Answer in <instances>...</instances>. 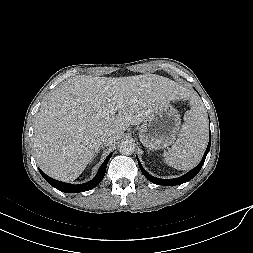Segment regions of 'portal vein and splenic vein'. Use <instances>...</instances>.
I'll use <instances>...</instances> for the list:
<instances>
[{"instance_id":"1","label":"portal vein and splenic vein","mask_w":253,"mask_h":253,"mask_svg":"<svg viewBox=\"0 0 253 253\" xmlns=\"http://www.w3.org/2000/svg\"><path fill=\"white\" fill-rule=\"evenodd\" d=\"M122 104H123V101L121 99H119L117 106L115 108H112L109 111V113L112 114V115L115 114L121 108Z\"/></svg>"}]
</instances>
